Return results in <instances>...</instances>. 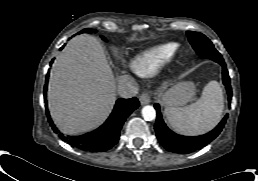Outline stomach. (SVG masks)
Returning <instances> with one entry per match:
<instances>
[{"mask_svg":"<svg viewBox=\"0 0 258 181\" xmlns=\"http://www.w3.org/2000/svg\"><path fill=\"white\" fill-rule=\"evenodd\" d=\"M195 95V85L192 82H179L162 93L161 101L166 107L183 106Z\"/></svg>","mask_w":258,"mask_h":181,"instance_id":"0dacf381","label":"stomach"}]
</instances>
